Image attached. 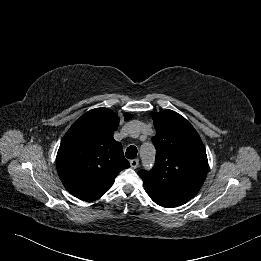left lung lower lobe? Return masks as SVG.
I'll return each mask as SVG.
<instances>
[{
  "mask_svg": "<svg viewBox=\"0 0 261 261\" xmlns=\"http://www.w3.org/2000/svg\"><path fill=\"white\" fill-rule=\"evenodd\" d=\"M144 187H145L147 194L150 196V198L156 204H158L162 207H166V208L177 207V206L187 203L191 199V197L184 195V194L161 191V190L146 187V186H144Z\"/></svg>",
  "mask_w": 261,
  "mask_h": 261,
  "instance_id": "0a47b994",
  "label": "left lung lower lobe"
}]
</instances>
